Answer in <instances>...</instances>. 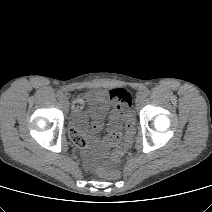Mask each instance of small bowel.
I'll return each mask as SVG.
<instances>
[{
  "mask_svg": "<svg viewBox=\"0 0 212 212\" xmlns=\"http://www.w3.org/2000/svg\"><path fill=\"white\" fill-rule=\"evenodd\" d=\"M108 97L110 98V91L109 93H106L104 91L98 92L95 95V105L89 109L88 113L92 119L91 128L92 131L95 133L100 132L103 128L104 120L109 111V106L107 104ZM110 100L112 99L110 98ZM119 120V112L112 111L109 115L108 133L102 141L103 147L110 148L116 146L121 141L122 134L119 130ZM71 135H74L81 141L85 142L82 134L77 129H73L71 131Z\"/></svg>",
  "mask_w": 212,
  "mask_h": 212,
  "instance_id": "1",
  "label": "small bowel"
}]
</instances>
